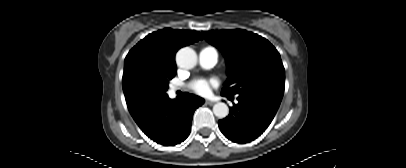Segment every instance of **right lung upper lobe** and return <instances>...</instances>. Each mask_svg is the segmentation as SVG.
<instances>
[{
    "label": "right lung upper lobe",
    "mask_w": 406,
    "mask_h": 168,
    "mask_svg": "<svg viewBox=\"0 0 406 168\" xmlns=\"http://www.w3.org/2000/svg\"><path fill=\"white\" fill-rule=\"evenodd\" d=\"M202 39L197 31L165 28L147 35L128 53L122 78L123 91L130 113L137 110L132 102L131 85L142 71L161 75L176 74L175 53L183 46Z\"/></svg>",
    "instance_id": "right-lung-upper-lobe-1"
}]
</instances>
